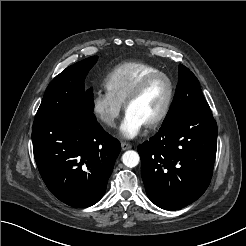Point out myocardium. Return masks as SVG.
<instances>
[{
	"label": "myocardium",
	"instance_id": "1",
	"mask_svg": "<svg viewBox=\"0 0 246 246\" xmlns=\"http://www.w3.org/2000/svg\"><path fill=\"white\" fill-rule=\"evenodd\" d=\"M157 78H164L167 81L168 86H169V93H168L166 103H165L164 108L161 111V113L156 118H154L152 121H150L149 123L146 124V127H148V128H154V127H157L158 125H160L167 118V116L171 110L172 103H173L174 96H175V84H174L172 78L168 74H166L165 72H162V71L154 72V73H151V74L145 76L133 88V90L129 93V95L127 96V98L125 99V101L123 103L124 108L127 111L130 104L133 103L144 92L146 87L153 80H155Z\"/></svg>",
	"mask_w": 246,
	"mask_h": 246
}]
</instances>
